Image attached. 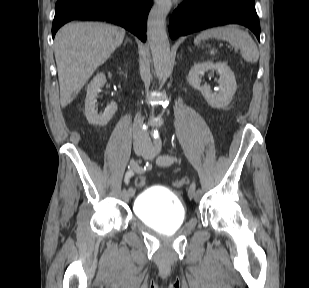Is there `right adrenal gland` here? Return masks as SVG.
<instances>
[{
  "label": "right adrenal gland",
  "instance_id": "right-adrenal-gland-1",
  "mask_svg": "<svg viewBox=\"0 0 309 288\" xmlns=\"http://www.w3.org/2000/svg\"><path fill=\"white\" fill-rule=\"evenodd\" d=\"M127 42L132 43V41L129 38H126L125 42H124V46L126 45Z\"/></svg>",
  "mask_w": 309,
  "mask_h": 288
}]
</instances>
